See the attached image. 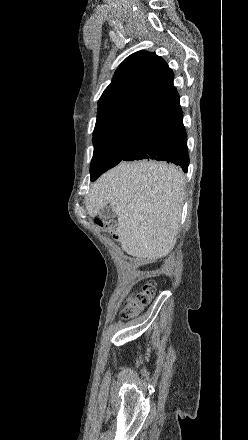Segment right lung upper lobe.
<instances>
[{
  "mask_svg": "<svg viewBox=\"0 0 248 440\" xmlns=\"http://www.w3.org/2000/svg\"><path fill=\"white\" fill-rule=\"evenodd\" d=\"M173 79L172 70L155 53L139 51L127 57L99 99L94 145L115 133L132 130L178 101Z\"/></svg>",
  "mask_w": 248,
  "mask_h": 440,
  "instance_id": "obj_1",
  "label": "right lung upper lobe"
}]
</instances>
